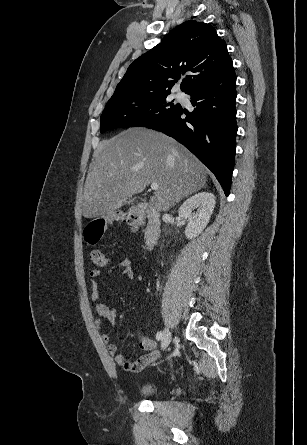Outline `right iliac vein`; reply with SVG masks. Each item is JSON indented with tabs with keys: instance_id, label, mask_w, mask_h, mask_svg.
Here are the masks:
<instances>
[{
	"instance_id": "right-iliac-vein-1",
	"label": "right iliac vein",
	"mask_w": 307,
	"mask_h": 445,
	"mask_svg": "<svg viewBox=\"0 0 307 445\" xmlns=\"http://www.w3.org/2000/svg\"><path fill=\"white\" fill-rule=\"evenodd\" d=\"M172 334L169 328H166L163 332L162 338H161V348L164 350L168 347V345L171 342Z\"/></svg>"
}]
</instances>
